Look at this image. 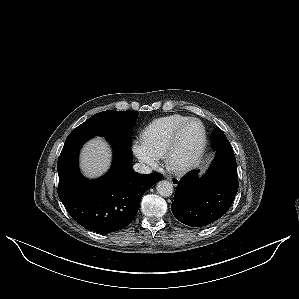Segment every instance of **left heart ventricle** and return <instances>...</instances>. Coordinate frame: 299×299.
<instances>
[{
    "label": "left heart ventricle",
    "mask_w": 299,
    "mask_h": 299,
    "mask_svg": "<svg viewBox=\"0 0 299 299\" xmlns=\"http://www.w3.org/2000/svg\"><path fill=\"white\" fill-rule=\"evenodd\" d=\"M202 140V129L199 123L188 124L179 135L171 161L174 165H181L192 159L199 150Z\"/></svg>",
    "instance_id": "obj_1"
}]
</instances>
